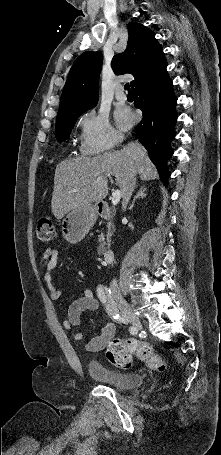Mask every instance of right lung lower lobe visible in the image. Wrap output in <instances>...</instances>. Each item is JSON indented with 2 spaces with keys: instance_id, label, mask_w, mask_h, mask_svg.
<instances>
[{
  "instance_id": "obj_1",
  "label": "right lung lower lobe",
  "mask_w": 221,
  "mask_h": 455,
  "mask_svg": "<svg viewBox=\"0 0 221 455\" xmlns=\"http://www.w3.org/2000/svg\"><path fill=\"white\" fill-rule=\"evenodd\" d=\"M166 67L162 51L133 85L134 105L143 112L135 131L165 185L170 177L167 159L173 154L170 142L175 137L177 120V98Z\"/></svg>"
}]
</instances>
